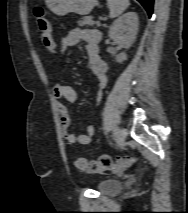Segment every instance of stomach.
I'll use <instances>...</instances> for the list:
<instances>
[{"mask_svg": "<svg viewBox=\"0 0 188 213\" xmlns=\"http://www.w3.org/2000/svg\"><path fill=\"white\" fill-rule=\"evenodd\" d=\"M45 3L47 8L57 15H87L98 4L97 0H45Z\"/></svg>", "mask_w": 188, "mask_h": 213, "instance_id": "1", "label": "stomach"}]
</instances>
